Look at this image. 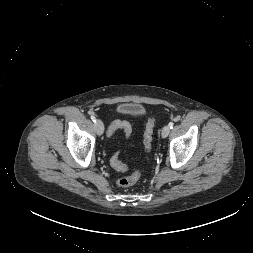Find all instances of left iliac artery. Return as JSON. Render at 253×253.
I'll use <instances>...</instances> for the list:
<instances>
[{"label": "left iliac artery", "mask_w": 253, "mask_h": 253, "mask_svg": "<svg viewBox=\"0 0 253 253\" xmlns=\"http://www.w3.org/2000/svg\"><path fill=\"white\" fill-rule=\"evenodd\" d=\"M173 126H174V123H173V122H170V123H169V127L172 129Z\"/></svg>", "instance_id": "obj_1"}]
</instances>
